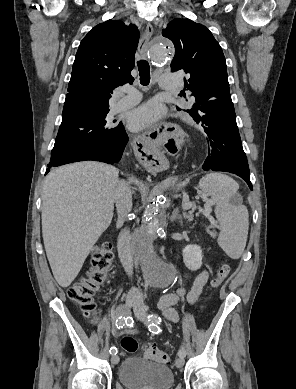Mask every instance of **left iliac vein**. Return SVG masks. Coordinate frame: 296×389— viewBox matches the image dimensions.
<instances>
[{
  "label": "left iliac vein",
  "instance_id": "1",
  "mask_svg": "<svg viewBox=\"0 0 296 389\" xmlns=\"http://www.w3.org/2000/svg\"><path fill=\"white\" fill-rule=\"evenodd\" d=\"M133 308H134L135 315L139 320L143 322L147 321L146 306L143 303V301L141 300L137 301L134 304ZM175 364L178 368H181L184 365V357L177 358Z\"/></svg>",
  "mask_w": 296,
  "mask_h": 389
}]
</instances>
